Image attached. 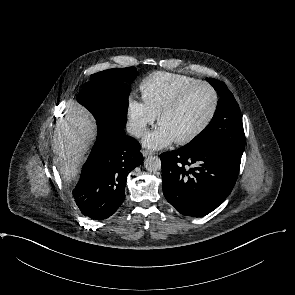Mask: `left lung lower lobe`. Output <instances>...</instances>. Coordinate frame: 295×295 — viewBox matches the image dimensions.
Masks as SVG:
<instances>
[{"label": "left lung lower lobe", "mask_w": 295, "mask_h": 295, "mask_svg": "<svg viewBox=\"0 0 295 295\" xmlns=\"http://www.w3.org/2000/svg\"><path fill=\"white\" fill-rule=\"evenodd\" d=\"M160 159L165 198L181 214L192 217H203L222 204L236 183L241 163L240 155L217 147L180 148L162 153Z\"/></svg>", "instance_id": "0a47b994"}]
</instances>
